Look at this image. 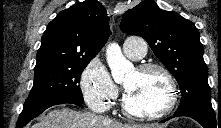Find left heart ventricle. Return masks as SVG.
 Returning a JSON list of instances; mask_svg holds the SVG:
<instances>
[{
	"label": "left heart ventricle",
	"instance_id": "b2bd125f",
	"mask_svg": "<svg viewBox=\"0 0 221 128\" xmlns=\"http://www.w3.org/2000/svg\"><path fill=\"white\" fill-rule=\"evenodd\" d=\"M125 99L136 112L161 107L167 98V85L156 71L132 72L124 81Z\"/></svg>",
	"mask_w": 221,
	"mask_h": 128
}]
</instances>
